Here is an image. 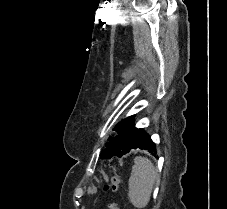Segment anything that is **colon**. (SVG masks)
Wrapping results in <instances>:
<instances>
[{
    "label": "colon",
    "mask_w": 227,
    "mask_h": 209,
    "mask_svg": "<svg viewBox=\"0 0 227 209\" xmlns=\"http://www.w3.org/2000/svg\"><path fill=\"white\" fill-rule=\"evenodd\" d=\"M119 185H120L119 177L113 176L109 179L106 189L110 190L111 193L115 195L119 191ZM106 209H119V207L116 201L113 200L107 204Z\"/></svg>",
    "instance_id": "colon-1"
}]
</instances>
